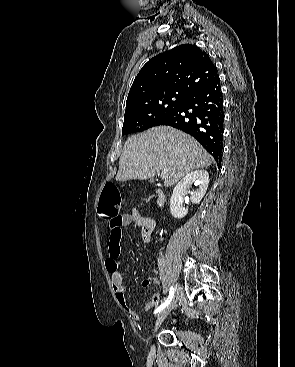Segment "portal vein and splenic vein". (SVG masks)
<instances>
[{"instance_id":"18ae733b","label":"portal vein and splenic vein","mask_w":295,"mask_h":367,"mask_svg":"<svg viewBox=\"0 0 295 367\" xmlns=\"http://www.w3.org/2000/svg\"><path fill=\"white\" fill-rule=\"evenodd\" d=\"M167 173H168V170H164V171H162V173H161V177H162V178H165Z\"/></svg>"}]
</instances>
